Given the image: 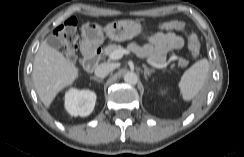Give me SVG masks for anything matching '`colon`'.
<instances>
[{
    "instance_id": "colon-1",
    "label": "colon",
    "mask_w": 244,
    "mask_h": 157,
    "mask_svg": "<svg viewBox=\"0 0 244 157\" xmlns=\"http://www.w3.org/2000/svg\"><path fill=\"white\" fill-rule=\"evenodd\" d=\"M162 30H176L182 31L186 34L188 48L191 55L197 58L200 54V43L197 36L188 31L186 26L179 21H167L159 25ZM56 36L61 41L63 46V53L65 57L71 62L75 63L77 60L76 48H77V27L76 22L73 19L66 21L61 25L57 31Z\"/></svg>"
}]
</instances>
